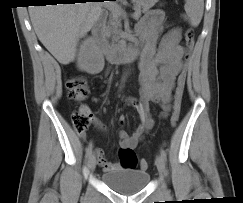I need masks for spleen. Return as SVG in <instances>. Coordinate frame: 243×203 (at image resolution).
<instances>
[{
  "instance_id": "obj_1",
  "label": "spleen",
  "mask_w": 243,
  "mask_h": 203,
  "mask_svg": "<svg viewBox=\"0 0 243 203\" xmlns=\"http://www.w3.org/2000/svg\"><path fill=\"white\" fill-rule=\"evenodd\" d=\"M186 19L193 27H197L201 22L204 11V0H185Z\"/></svg>"
}]
</instances>
